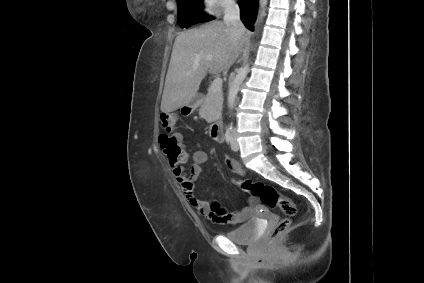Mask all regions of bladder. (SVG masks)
<instances>
[{"label":"bladder","mask_w":424,"mask_h":283,"mask_svg":"<svg viewBox=\"0 0 424 283\" xmlns=\"http://www.w3.org/2000/svg\"><path fill=\"white\" fill-rule=\"evenodd\" d=\"M260 234V226L257 220L251 219L238 228L228 232L226 237L236 243L247 245L253 243Z\"/></svg>","instance_id":"31cf9c89"}]
</instances>
